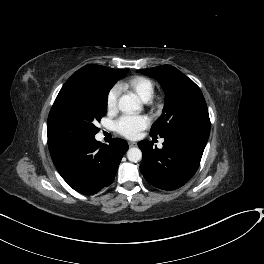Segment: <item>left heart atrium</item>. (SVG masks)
<instances>
[{
    "mask_svg": "<svg viewBox=\"0 0 264 264\" xmlns=\"http://www.w3.org/2000/svg\"><path fill=\"white\" fill-rule=\"evenodd\" d=\"M147 116L124 115L115 122V129L127 138H136L150 124Z\"/></svg>",
    "mask_w": 264,
    "mask_h": 264,
    "instance_id": "39dd6f15",
    "label": "left heart atrium"
}]
</instances>
